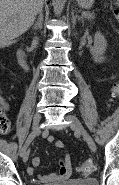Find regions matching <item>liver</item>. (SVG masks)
Returning <instances> with one entry per match:
<instances>
[{
	"label": "liver",
	"instance_id": "1",
	"mask_svg": "<svg viewBox=\"0 0 119 185\" xmlns=\"http://www.w3.org/2000/svg\"><path fill=\"white\" fill-rule=\"evenodd\" d=\"M42 8L43 0H0V47L25 33Z\"/></svg>",
	"mask_w": 119,
	"mask_h": 185
}]
</instances>
